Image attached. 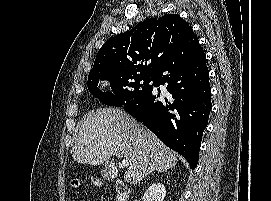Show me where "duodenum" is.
<instances>
[{"mask_svg": "<svg viewBox=\"0 0 271 201\" xmlns=\"http://www.w3.org/2000/svg\"><path fill=\"white\" fill-rule=\"evenodd\" d=\"M114 186L117 195L116 201H127L129 198V190L127 186L120 180L116 181Z\"/></svg>", "mask_w": 271, "mask_h": 201, "instance_id": "duodenum-1", "label": "duodenum"}]
</instances>
